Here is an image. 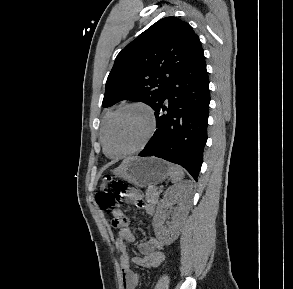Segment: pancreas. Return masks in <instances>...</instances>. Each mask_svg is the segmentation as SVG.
Here are the masks:
<instances>
[{
  "label": "pancreas",
  "instance_id": "cf45deb5",
  "mask_svg": "<svg viewBox=\"0 0 293 289\" xmlns=\"http://www.w3.org/2000/svg\"><path fill=\"white\" fill-rule=\"evenodd\" d=\"M159 194H160V192L157 191L156 187L149 186L147 188L146 194H145L146 201L149 203H153V204L157 203L158 198H159Z\"/></svg>",
  "mask_w": 293,
  "mask_h": 289
}]
</instances>
